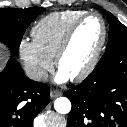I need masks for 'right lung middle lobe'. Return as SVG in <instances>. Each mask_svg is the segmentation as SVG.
Listing matches in <instances>:
<instances>
[{"label":"right lung middle lobe","instance_id":"1","mask_svg":"<svg viewBox=\"0 0 127 127\" xmlns=\"http://www.w3.org/2000/svg\"><path fill=\"white\" fill-rule=\"evenodd\" d=\"M44 11L45 9L40 7L0 8V42L16 54L26 28Z\"/></svg>","mask_w":127,"mask_h":127}]
</instances>
